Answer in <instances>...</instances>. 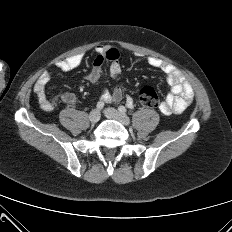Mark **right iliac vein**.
Wrapping results in <instances>:
<instances>
[{
    "instance_id": "63e3f726",
    "label": "right iliac vein",
    "mask_w": 232,
    "mask_h": 232,
    "mask_svg": "<svg viewBox=\"0 0 232 232\" xmlns=\"http://www.w3.org/2000/svg\"><path fill=\"white\" fill-rule=\"evenodd\" d=\"M89 120L92 123H97L100 120V112L97 109H94L89 114Z\"/></svg>"
}]
</instances>
